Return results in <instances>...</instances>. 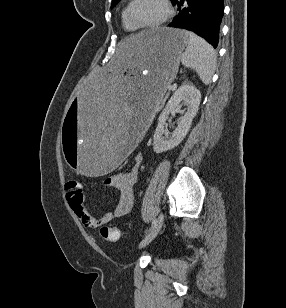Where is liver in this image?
Returning <instances> with one entry per match:
<instances>
[{
	"mask_svg": "<svg viewBox=\"0 0 286 308\" xmlns=\"http://www.w3.org/2000/svg\"><path fill=\"white\" fill-rule=\"evenodd\" d=\"M148 31L141 32L129 38L122 40L116 50L114 60L120 58H126L132 54L134 49L139 45V43L148 35Z\"/></svg>",
	"mask_w": 286,
	"mask_h": 308,
	"instance_id": "obj_1",
	"label": "liver"
}]
</instances>
